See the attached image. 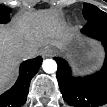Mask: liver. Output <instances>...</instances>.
I'll use <instances>...</instances> for the list:
<instances>
[{"instance_id": "obj_1", "label": "liver", "mask_w": 107, "mask_h": 107, "mask_svg": "<svg viewBox=\"0 0 107 107\" xmlns=\"http://www.w3.org/2000/svg\"><path fill=\"white\" fill-rule=\"evenodd\" d=\"M65 24L58 13L50 10L28 12L16 18L10 27L0 29V83L1 90L14 80L23 49L37 50L45 45L63 48L66 41ZM101 52L95 48L90 56L98 59Z\"/></svg>"}]
</instances>
